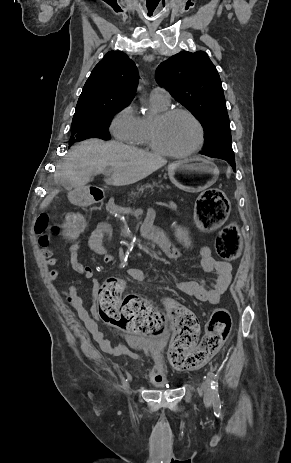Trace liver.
I'll list each match as a JSON object with an SVG mask.
<instances>
[{"label": "liver", "mask_w": 291, "mask_h": 463, "mask_svg": "<svg viewBox=\"0 0 291 463\" xmlns=\"http://www.w3.org/2000/svg\"><path fill=\"white\" fill-rule=\"evenodd\" d=\"M167 163L163 157L116 141L89 139L73 147L61 163L54 178L62 184L84 188L91 177L109 168L107 184L124 186L136 183ZM58 191L49 194L40 208L47 207Z\"/></svg>", "instance_id": "6515ba94"}]
</instances>
